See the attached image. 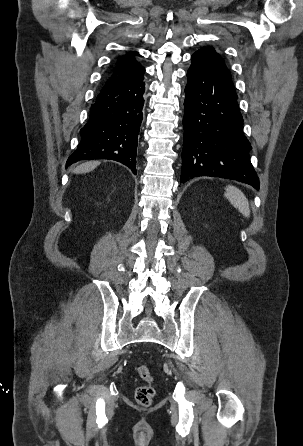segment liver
I'll list each match as a JSON object with an SVG mask.
<instances>
[{
    "label": "liver",
    "mask_w": 303,
    "mask_h": 446,
    "mask_svg": "<svg viewBox=\"0 0 303 446\" xmlns=\"http://www.w3.org/2000/svg\"><path fill=\"white\" fill-rule=\"evenodd\" d=\"M99 164L100 162L98 161H88L74 168L73 172L76 174L88 173L93 171Z\"/></svg>",
    "instance_id": "obj_1"
}]
</instances>
